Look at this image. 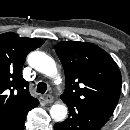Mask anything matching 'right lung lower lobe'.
Wrapping results in <instances>:
<instances>
[{
    "label": "right lung lower lobe",
    "mask_w": 130,
    "mask_h": 130,
    "mask_svg": "<svg viewBox=\"0 0 130 130\" xmlns=\"http://www.w3.org/2000/svg\"><path fill=\"white\" fill-rule=\"evenodd\" d=\"M26 115L27 113L14 121L0 125V130H23Z\"/></svg>",
    "instance_id": "1"
}]
</instances>
